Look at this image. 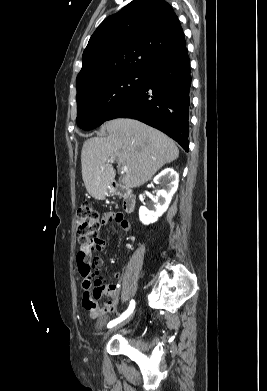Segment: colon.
Segmentation results:
<instances>
[{
  "label": "colon",
  "instance_id": "obj_1",
  "mask_svg": "<svg viewBox=\"0 0 267 391\" xmlns=\"http://www.w3.org/2000/svg\"><path fill=\"white\" fill-rule=\"evenodd\" d=\"M101 220L98 212L88 203L81 204L76 212V232L81 253L100 250L103 241L98 237Z\"/></svg>",
  "mask_w": 267,
  "mask_h": 391
}]
</instances>
